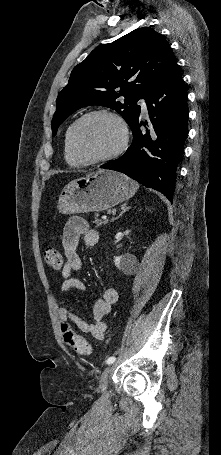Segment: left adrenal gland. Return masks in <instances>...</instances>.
I'll use <instances>...</instances> for the list:
<instances>
[{"mask_svg": "<svg viewBox=\"0 0 221 455\" xmlns=\"http://www.w3.org/2000/svg\"><path fill=\"white\" fill-rule=\"evenodd\" d=\"M130 208H131V207H130V206H127V204H123V205L121 206V212H120V214H119L116 218H114L113 221L119 219V218H120L126 211H128Z\"/></svg>", "mask_w": 221, "mask_h": 455, "instance_id": "obj_1", "label": "left adrenal gland"}]
</instances>
